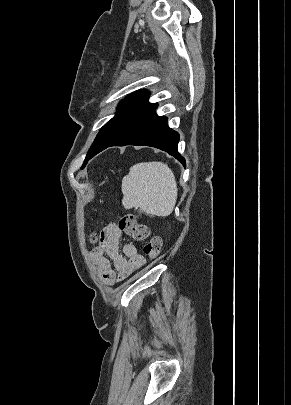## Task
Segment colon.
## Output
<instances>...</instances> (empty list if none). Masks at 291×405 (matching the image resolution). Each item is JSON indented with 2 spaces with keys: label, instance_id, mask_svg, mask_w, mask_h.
I'll use <instances>...</instances> for the list:
<instances>
[{
  "label": "colon",
  "instance_id": "1",
  "mask_svg": "<svg viewBox=\"0 0 291 405\" xmlns=\"http://www.w3.org/2000/svg\"><path fill=\"white\" fill-rule=\"evenodd\" d=\"M118 227L133 239L146 241L143 251L150 260H155L159 257L162 249L161 238L152 236L150 228L139 223L133 215L126 214L122 216L118 222ZM91 240L92 242H96L97 237L93 235Z\"/></svg>",
  "mask_w": 291,
  "mask_h": 405
}]
</instances>
